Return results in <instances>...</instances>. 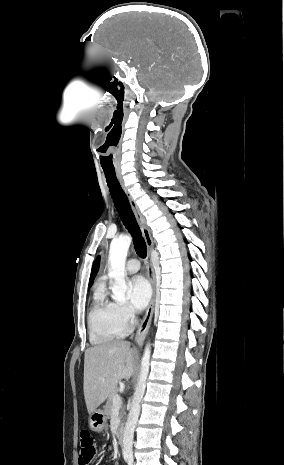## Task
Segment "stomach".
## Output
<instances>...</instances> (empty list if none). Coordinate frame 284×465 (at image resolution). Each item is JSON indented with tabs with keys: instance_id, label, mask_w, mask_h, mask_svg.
Returning <instances> with one entry per match:
<instances>
[{
	"instance_id": "stomach-1",
	"label": "stomach",
	"mask_w": 284,
	"mask_h": 465,
	"mask_svg": "<svg viewBox=\"0 0 284 465\" xmlns=\"http://www.w3.org/2000/svg\"><path fill=\"white\" fill-rule=\"evenodd\" d=\"M107 417L102 411V409H97L94 413H90L89 417V427L91 431H96V433H101L106 427Z\"/></svg>"
}]
</instances>
